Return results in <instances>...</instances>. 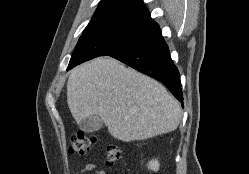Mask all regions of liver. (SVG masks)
<instances>
[{
    "label": "liver",
    "instance_id": "liver-1",
    "mask_svg": "<svg viewBox=\"0 0 249 174\" xmlns=\"http://www.w3.org/2000/svg\"><path fill=\"white\" fill-rule=\"evenodd\" d=\"M67 103L77 123L99 116L109 133L130 142L174 131L179 103L154 79L112 58H96L71 71Z\"/></svg>",
    "mask_w": 249,
    "mask_h": 174
}]
</instances>
